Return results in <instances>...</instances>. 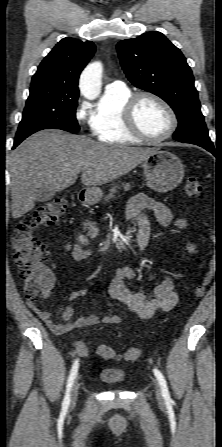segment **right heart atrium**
Here are the masks:
<instances>
[{
    "instance_id": "obj_1",
    "label": "right heart atrium",
    "mask_w": 222,
    "mask_h": 447,
    "mask_svg": "<svg viewBox=\"0 0 222 447\" xmlns=\"http://www.w3.org/2000/svg\"><path fill=\"white\" fill-rule=\"evenodd\" d=\"M76 117H77V120H78V121H81V120H82V117H83V116H82V113H81L80 111H78L77 114H76Z\"/></svg>"
}]
</instances>
